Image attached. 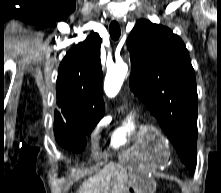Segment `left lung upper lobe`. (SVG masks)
I'll use <instances>...</instances> for the list:
<instances>
[{
  "instance_id": "left-lung-upper-lobe-1",
  "label": "left lung upper lobe",
  "mask_w": 221,
  "mask_h": 193,
  "mask_svg": "<svg viewBox=\"0 0 221 193\" xmlns=\"http://www.w3.org/2000/svg\"><path fill=\"white\" fill-rule=\"evenodd\" d=\"M127 48L130 88L156 117L190 170L196 166L198 96L189 53L169 28L139 20Z\"/></svg>"
}]
</instances>
